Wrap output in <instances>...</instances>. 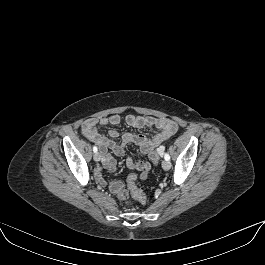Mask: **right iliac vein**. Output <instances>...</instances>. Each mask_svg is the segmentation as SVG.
<instances>
[{
  "instance_id": "63e3f726",
  "label": "right iliac vein",
  "mask_w": 265,
  "mask_h": 265,
  "mask_svg": "<svg viewBox=\"0 0 265 265\" xmlns=\"http://www.w3.org/2000/svg\"><path fill=\"white\" fill-rule=\"evenodd\" d=\"M93 158H94V160H95L96 162L100 161V159H101V155H100V153H99V152H96V153L94 154Z\"/></svg>"
}]
</instances>
